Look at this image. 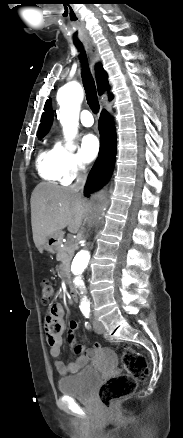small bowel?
Masks as SVG:
<instances>
[{
  "label": "small bowel",
  "mask_w": 183,
  "mask_h": 438,
  "mask_svg": "<svg viewBox=\"0 0 183 438\" xmlns=\"http://www.w3.org/2000/svg\"><path fill=\"white\" fill-rule=\"evenodd\" d=\"M64 310L60 304H52L45 318L46 339L50 346V354L54 358H59L63 347ZM78 323L70 321L68 324L67 340L71 349L78 355L75 361L65 364L63 361H55V368L60 375L75 374L87 365L90 359L101 349L98 343L91 347H86L78 343L76 331Z\"/></svg>",
  "instance_id": "obj_1"
}]
</instances>
